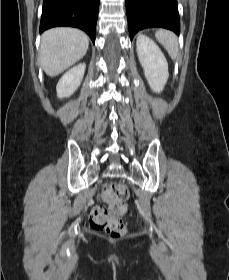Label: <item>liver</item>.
I'll list each match as a JSON object with an SVG mask.
<instances>
[{
    "label": "liver",
    "mask_w": 229,
    "mask_h": 280,
    "mask_svg": "<svg viewBox=\"0 0 229 280\" xmlns=\"http://www.w3.org/2000/svg\"><path fill=\"white\" fill-rule=\"evenodd\" d=\"M88 46V36L78 29H50L41 36V66L47 75L57 76L78 62L86 54Z\"/></svg>",
    "instance_id": "1"
}]
</instances>
